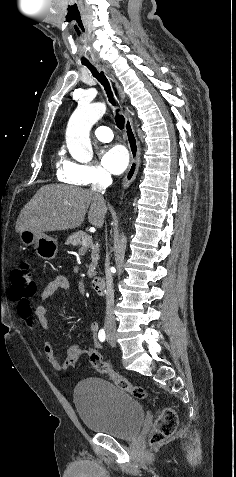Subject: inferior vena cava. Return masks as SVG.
<instances>
[{
	"label": "inferior vena cava",
	"mask_w": 236,
	"mask_h": 477,
	"mask_svg": "<svg viewBox=\"0 0 236 477\" xmlns=\"http://www.w3.org/2000/svg\"><path fill=\"white\" fill-rule=\"evenodd\" d=\"M112 183L111 177L105 176L104 178L100 179L98 183L94 184L92 187V191L102 197L105 192V189ZM105 274H106V317L105 322L108 325H115V317L113 312L114 306V289H113V278L112 273L110 270V262L109 256H106V263H105Z\"/></svg>",
	"instance_id": "inferior-vena-cava-1"
}]
</instances>
